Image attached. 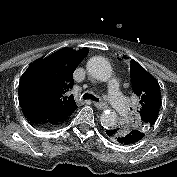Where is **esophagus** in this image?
I'll return each instance as SVG.
<instances>
[{"mask_svg": "<svg viewBox=\"0 0 177 177\" xmlns=\"http://www.w3.org/2000/svg\"><path fill=\"white\" fill-rule=\"evenodd\" d=\"M93 104L98 109H104L107 107V104L104 102L93 101Z\"/></svg>", "mask_w": 177, "mask_h": 177, "instance_id": "esophagus-1", "label": "esophagus"}]
</instances>
